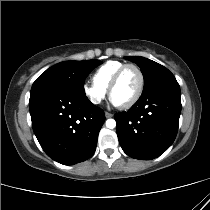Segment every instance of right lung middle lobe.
<instances>
[{"label":"right lung middle lobe","instance_id":"right-lung-middle-lobe-1","mask_svg":"<svg viewBox=\"0 0 210 210\" xmlns=\"http://www.w3.org/2000/svg\"><path fill=\"white\" fill-rule=\"evenodd\" d=\"M101 63L99 60L60 62L35 80L31 93L44 89H65L85 95L84 80Z\"/></svg>","mask_w":210,"mask_h":210}]
</instances>
